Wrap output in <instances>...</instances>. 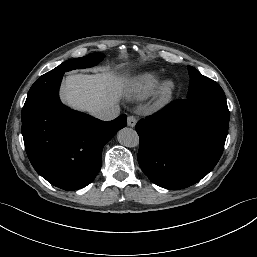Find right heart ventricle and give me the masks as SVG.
<instances>
[{"mask_svg": "<svg viewBox=\"0 0 257 257\" xmlns=\"http://www.w3.org/2000/svg\"><path fill=\"white\" fill-rule=\"evenodd\" d=\"M160 78L155 73H144L136 77L131 85L132 94L136 99H143L151 95L158 85Z\"/></svg>", "mask_w": 257, "mask_h": 257, "instance_id": "e07e8e85", "label": "right heart ventricle"}]
</instances>
